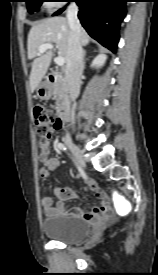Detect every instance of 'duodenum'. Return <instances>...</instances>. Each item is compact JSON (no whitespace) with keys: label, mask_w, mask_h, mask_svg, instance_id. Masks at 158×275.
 <instances>
[{"label":"duodenum","mask_w":158,"mask_h":275,"mask_svg":"<svg viewBox=\"0 0 158 275\" xmlns=\"http://www.w3.org/2000/svg\"><path fill=\"white\" fill-rule=\"evenodd\" d=\"M46 80L48 82H54L55 80V76L53 73H50L48 74ZM59 121L60 123H65V122H68L70 119H71V109L69 106L67 105H64V106H61L60 109H59Z\"/></svg>","instance_id":"obj_1"}]
</instances>
